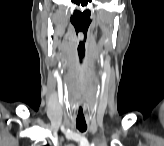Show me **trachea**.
Masks as SVG:
<instances>
[{
  "mask_svg": "<svg viewBox=\"0 0 164 146\" xmlns=\"http://www.w3.org/2000/svg\"><path fill=\"white\" fill-rule=\"evenodd\" d=\"M76 127L80 132H85L87 129L85 121H76Z\"/></svg>",
  "mask_w": 164,
  "mask_h": 146,
  "instance_id": "1",
  "label": "trachea"
}]
</instances>
